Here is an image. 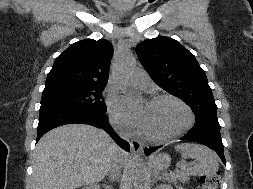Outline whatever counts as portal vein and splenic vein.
Segmentation results:
<instances>
[{
    "label": "portal vein and splenic vein",
    "mask_w": 253,
    "mask_h": 189,
    "mask_svg": "<svg viewBox=\"0 0 253 189\" xmlns=\"http://www.w3.org/2000/svg\"><path fill=\"white\" fill-rule=\"evenodd\" d=\"M184 165H187V163H186L185 161H183V162L181 163V166H184Z\"/></svg>",
    "instance_id": "1"
}]
</instances>
